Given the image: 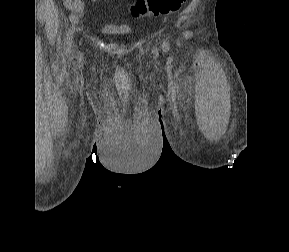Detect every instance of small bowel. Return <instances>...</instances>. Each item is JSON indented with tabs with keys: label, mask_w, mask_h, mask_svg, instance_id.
Segmentation results:
<instances>
[{
	"label": "small bowel",
	"mask_w": 289,
	"mask_h": 252,
	"mask_svg": "<svg viewBox=\"0 0 289 252\" xmlns=\"http://www.w3.org/2000/svg\"><path fill=\"white\" fill-rule=\"evenodd\" d=\"M93 2L97 0H91ZM66 8L73 13H81L85 10V2L83 0H64Z\"/></svg>",
	"instance_id": "small-bowel-1"
}]
</instances>
